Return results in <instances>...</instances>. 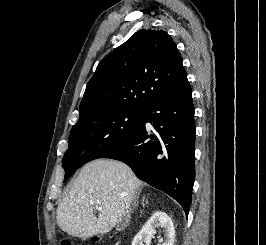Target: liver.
Listing matches in <instances>:
<instances>
[{"instance_id":"1","label":"liver","mask_w":266,"mask_h":245,"mask_svg":"<svg viewBox=\"0 0 266 245\" xmlns=\"http://www.w3.org/2000/svg\"><path fill=\"white\" fill-rule=\"evenodd\" d=\"M140 185L125 163L113 159L91 161L59 203L57 225L79 239L109 233L130 209ZM94 205L102 207L98 217L94 215Z\"/></svg>"}]
</instances>
